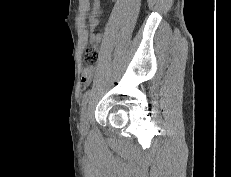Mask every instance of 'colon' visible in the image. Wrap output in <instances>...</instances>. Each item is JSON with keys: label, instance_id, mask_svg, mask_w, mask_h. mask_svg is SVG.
Returning a JSON list of instances; mask_svg holds the SVG:
<instances>
[{"label": "colon", "instance_id": "5ec220e1", "mask_svg": "<svg viewBox=\"0 0 231 177\" xmlns=\"http://www.w3.org/2000/svg\"><path fill=\"white\" fill-rule=\"evenodd\" d=\"M99 54L95 46L89 45L84 51V61L88 66H92L98 62Z\"/></svg>", "mask_w": 231, "mask_h": 177}]
</instances>
